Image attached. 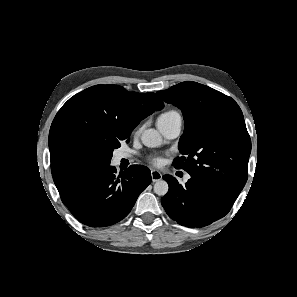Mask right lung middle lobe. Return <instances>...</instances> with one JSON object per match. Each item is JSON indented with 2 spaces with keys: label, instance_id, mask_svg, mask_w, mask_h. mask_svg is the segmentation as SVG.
Here are the masks:
<instances>
[{
  "label": "right lung middle lobe",
  "instance_id": "dd1d6c3e",
  "mask_svg": "<svg viewBox=\"0 0 297 297\" xmlns=\"http://www.w3.org/2000/svg\"><path fill=\"white\" fill-rule=\"evenodd\" d=\"M120 146H121L120 143H117V144H115V145L113 146L112 150L110 151V158L112 157V152H113V150H114L115 148L120 147Z\"/></svg>",
  "mask_w": 297,
  "mask_h": 297
}]
</instances>
